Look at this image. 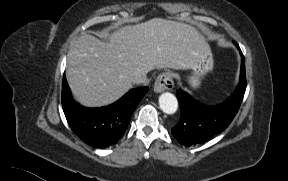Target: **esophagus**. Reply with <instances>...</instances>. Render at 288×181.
Masks as SVG:
<instances>
[{"instance_id": "34e87169", "label": "esophagus", "mask_w": 288, "mask_h": 181, "mask_svg": "<svg viewBox=\"0 0 288 181\" xmlns=\"http://www.w3.org/2000/svg\"><path fill=\"white\" fill-rule=\"evenodd\" d=\"M174 87L172 74L164 72L160 74L154 83V92L161 93L165 90H171Z\"/></svg>"}]
</instances>
